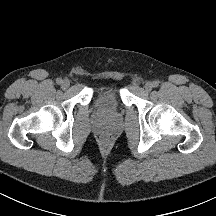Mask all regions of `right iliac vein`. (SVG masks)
Masks as SVG:
<instances>
[{"label":"right iliac vein","mask_w":216,"mask_h":216,"mask_svg":"<svg viewBox=\"0 0 216 216\" xmlns=\"http://www.w3.org/2000/svg\"><path fill=\"white\" fill-rule=\"evenodd\" d=\"M69 85H70V82H69L68 79H64V80L62 81V83H61V87H62L63 89L68 88Z\"/></svg>","instance_id":"1"}]
</instances>
